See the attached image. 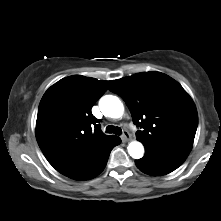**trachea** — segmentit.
Returning a JSON list of instances; mask_svg holds the SVG:
<instances>
[{"instance_id": "trachea-1", "label": "trachea", "mask_w": 221, "mask_h": 221, "mask_svg": "<svg viewBox=\"0 0 221 221\" xmlns=\"http://www.w3.org/2000/svg\"><path fill=\"white\" fill-rule=\"evenodd\" d=\"M106 133H113L116 135H120L122 133V130L120 127L109 125L106 127Z\"/></svg>"}]
</instances>
